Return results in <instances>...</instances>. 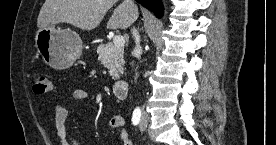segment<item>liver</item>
<instances>
[{
	"label": "liver",
	"mask_w": 276,
	"mask_h": 145,
	"mask_svg": "<svg viewBox=\"0 0 276 145\" xmlns=\"http://www.w3.org/2000/svg\"><path fill=\"white\" fill-rule=\"evenodd\" d=\"M117 0H45L37 19L38 29L69 23L82 30H93ZM138 17V9L118 5L110 17L109 29H126Z\"/></svg>",
	"instance_id": "1"
}]
</instances>
